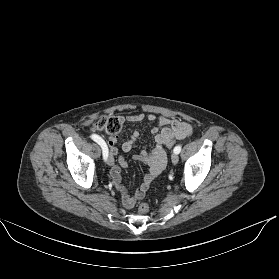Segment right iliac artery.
I'll use <instances>...</instances> for the list:
<instances>
[{
  "mask_svg": "<svg viewBox=\"0 0 279 279\" xmlns=\"http://www.w3.org/2000/svg\"><path fill=\"white\" fill-rule=\"evenodd\" d=\"M91 138L101 146V148L103 150V157L106 160V158L108 156V147H107L105 141L96 134H92Z\"/></svg>",
  "mask_w": 279,
  "mask_h": 279,
  "instance_id": "right-iliac-artery-1",
  "label": "right iliac artery"
}]
</instances>
